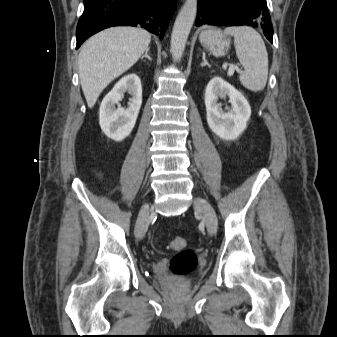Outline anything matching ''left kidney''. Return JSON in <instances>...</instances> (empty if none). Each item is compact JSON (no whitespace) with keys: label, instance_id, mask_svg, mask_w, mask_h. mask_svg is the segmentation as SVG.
<instances>
[{"label":"left kidney","instance_id":"1","mask_svg":"<svg viewBox=\"0 0 337 337\" xmlns=\"http://www.w3.org/2000/svg\"><path fill=\"white\" fill-rule=\"evenodd\" d=\"M229 97L231 107L224 111L218 98ZM209 128L223 140H235L247 127L251 108L245 97L221 77L212 78L205 91Z\"/></svg>","mask_w":337,"mask_h":337}]
</instances>
